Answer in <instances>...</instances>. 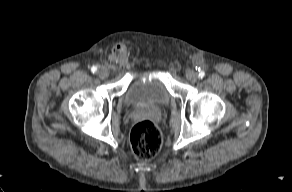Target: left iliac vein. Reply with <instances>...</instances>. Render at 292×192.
<instances>
[{
    "mask_svg": "<svg viewBox=\"0 0 292 192\" xmlns=\"http://www.w3.org/2000/svg\"><path fill=\"white\" fill-rule=\"evenodd\" d=\"M186 78H187L190 82L194 83V82L197 81V79H198V75H197V73H196L195 71H193V70H187V72H186Z\"/></svg>",
    "mask_w": 292,
    "mask_h": 192,
    "instance_id": "obj_1",
    "label": "left iliac vein"
}]
</instances>
